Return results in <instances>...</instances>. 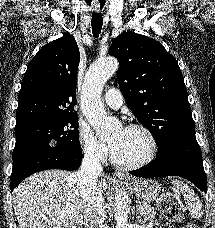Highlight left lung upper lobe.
<instances>
[{
	"label": "left lung upper lobe",
	"instance_id": "left-lung-upper-lobe-1",
	"mask_svg": "<svg viewBox=\"0 0 215 228\" xmlns=\"http://www.w3.org/2000/svg\"><path fill=\"white\" fill-rule=\"evenodd\" d=\"M108 53L119 60V88L128 107L149 129L158 149L194 132L183 75L161 43L123 32L113 40Z\"/></svg>",
	"mask_w": 215,
	"mask_h": 228
}]
</instances>
